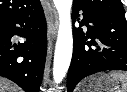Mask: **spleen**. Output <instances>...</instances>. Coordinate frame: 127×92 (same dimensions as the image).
Wrapping results in <instances>:
<instances>
[{
  "label": "spleen",
  "instance_id": "spleen-1",
  "mask_svg": "<svg viewBox=\"0 0 127 92\" xmlns=\"http://www.w3.org/2000/svg\"><path fill=\"white\" fill-rule=\"evenodd\" d=\"M109 77L117 83H121V87H117L113 92H127V72L112 71Z\"/></svg>",
  "mask_w": 127,
  "mask_h": 92
}]
</instances>
